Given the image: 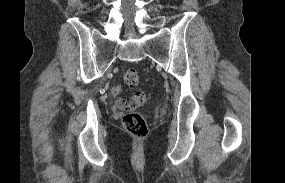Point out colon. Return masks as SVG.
<instances>
[{
  "mask_svg": "<svg viewBox=\"0 0 285 183\" xmlns=\"http://www.w3.org/2000/svg\"><path fill=\"white\" fill-rule=\"evenodd\" d=\"M125 83L130 88H135L139 84V76L136 70L128 69L124 72L123 75ZM146 96L144 92L140 91L137 92L130 102L126 109H131L137 107L138 105L142 104L145 100ZM122 123L124 128L134 136L137 137H144L148 133V128L145 122L143 115L134 110H128L122 118Z\"/></svg>",
  "mask_w": 285,
  "mask_h": 183,
  "instance_id": "1",
  "label": "colon"
}]
</instances>
